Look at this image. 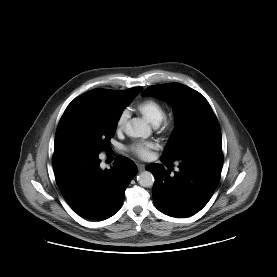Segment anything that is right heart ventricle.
Wrapping results in <instances>:
<instances>
[{"instance_id":"e07e8e85","label":"right heart ventricle","mask_w":277,"mask_h":277,"mask_svg":"<svg viewBox=\"0 0 277 277\" xmlns=\"http://www.w3.org/2000/svg\"><path fill=\"white\" fill-rule=\"evenodd\" d=\"M136 109L152 125H158L165 116L163 104L152 98L140 101Z\"/></svg>"}]
</instances>
